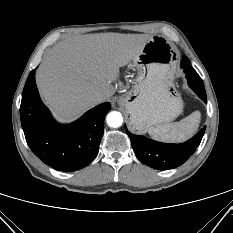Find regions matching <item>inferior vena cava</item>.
<instances>
[{
	"label": "inferior vena cava",
	"mask_w": 233,
	"mask_h": 233,
	"mask_svg": "<svg viewBox=\"0 0 233 233\" xmlns=\"http://www.w3.org/2000/svg\"><path fill=\"white\" fill-rule=\"evenodd\" d=\"M93 100L96 101V102H102L105 100V95L102 94V93H96L94 96H93Z\"/></svg>",
	"instance_id": "obj_1"
}]
</instances>
